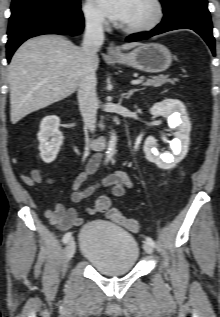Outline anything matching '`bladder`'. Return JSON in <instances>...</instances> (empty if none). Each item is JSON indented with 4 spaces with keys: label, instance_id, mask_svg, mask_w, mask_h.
<instances>
[{
    "label": "bladder",
    "instance_id": "bladder-1",
    "mask_svg": "<svg viewBox=\"0 0 220 317\" xmlns=\"http://www.w3.org/2000/svg\"><path fill=\"white\" fill-rule=\"evenodd\" d=\"M79 237L81 258L99 273L128 274L139 260L135 237L114 223L91 220L81 228Z\"/></svg>",
    "mask_w": 220,
    "mask_h": 317
}]
</instances>
